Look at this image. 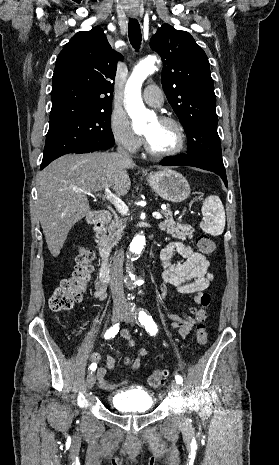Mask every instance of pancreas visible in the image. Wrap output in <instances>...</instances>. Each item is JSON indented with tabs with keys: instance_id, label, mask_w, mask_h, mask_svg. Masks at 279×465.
Listing matches in <instances>:
<instances>
[{
	"instance_id": "obj_1",
	"label": "pancreas",
	"mask_w": 279,
	"mask_h": 465,
	"mask_svg": "<svg viewBox=\"0 0 279 465\" xmlns=\"http://www.w3.org/2000/svg\"><path fill=\"white\" fill-rule=\"evenodd\" d=\"M163 215L165 220L159 223L161 231H166L167 234L179 239L192 237L194 229L190 225L176 224L172 218V212L170 210L164 211ZM126 221L127 220L124 218H116L107 227L108 234L103 237V241L108 248H112L121 239L123 230L126 227Z\"/></svg>"
}]
</instances>
